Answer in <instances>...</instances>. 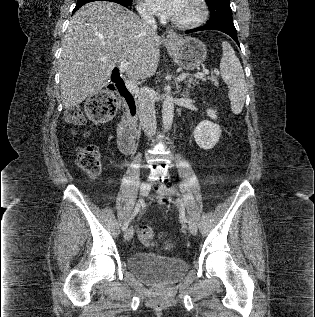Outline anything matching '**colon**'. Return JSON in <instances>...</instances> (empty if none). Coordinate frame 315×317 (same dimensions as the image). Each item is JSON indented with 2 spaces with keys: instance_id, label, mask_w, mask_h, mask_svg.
Wrapping results in <instances>:
<instances>
[{
  "instance_id": "1",
  "label": "colon",
  "mask_w": 315,
  "mask_h": 317,
  "mask_svg": "<svg viewBox=\"0 0 315 317\" xmlns=\"http://www.w3.org/2000/svg\"><path fill=\"white\" fill-rule=\"evenodd\" d=\"M117 109V98L112 89L102 90L93 95L85 105L86 115L98 122L110 120ZM66 123L74 128L75 132L86 135L84 130L85 116L78 106L69 107L64 114ZM76 164L90 179H96L101 172V156L95 145L87 144L81 147L76 155ZM154 230L143 226L140 230V240L147 245H154Z\"/></svg>"
}]
</instances>
